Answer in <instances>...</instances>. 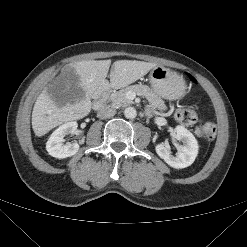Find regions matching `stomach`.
<instances>
[{
  "label": "stomach",
  "mask_w": 247,
  "mask_h": 247,
  "mask_svg": "<svg viewBox=\"0 0 247 247\" xmlns=\"http://www.w3.org/2000/svg\"><path fill=\"white\" fill-rule=\"evenodd\" d=\"M149 82L154 92L167 100L179 99L186 89L182 77L163 66H156L150 71Z\"/></svg>",
  "instance_id": "0dacf381"
}]
</instances>
